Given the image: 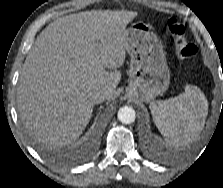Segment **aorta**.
<instances>
[{
    "instance_id": "obj_1",
    "label": "aorta",
    "mask_w": 223,
    "mask_h": 188,
    "mask_svg": "<svg viewBox=\"0 0 223 188\" xmlns=\"http://www.w3.org/2000/svg\"><path fill=\"white\" fill-rule=\"evenodd\" d=\"M118 119L124 124H131L136 119V113L131 107H122L118 111Z\"/></svg>"
}]
</instances>
